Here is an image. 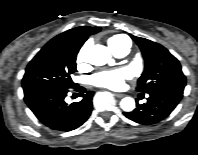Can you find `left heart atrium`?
<instances>
[{"label":"left heart atrium","mask_w":198,"mask_h":155,"mask_svg":"<svg viewBox=\"0 0 198 155\" xmlns=\"http://www.w3.org/2000/svg\"><path fill=\"white\" fill-rule=\"evenodd\" d=\"M128 77L126 69L109 70L96 73L91 77V82L95 86L119 90L124 86V81Z\"/></svg>","instance_id":"obj_1"}]
</instances>
